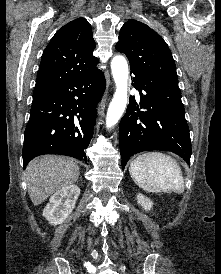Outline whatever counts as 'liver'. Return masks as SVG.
<instances>
[{
  "mask_svg": "<svg viewBox=\"0 0 221 274\" xmlns=\"http://www.w3.org/2000/svg\"><path fill=\"white\" fill-rule=\"evenodd\" d=\"M80 169L68 157L47 155L34 159L26 168L28 194L37 206L53 193L76 182Z\"/></svg>",
  "mask_w": 221,
  "mask_h": 274,
  "instance_id": "liver-1",
  "label": "liver"
}]
</instances>
